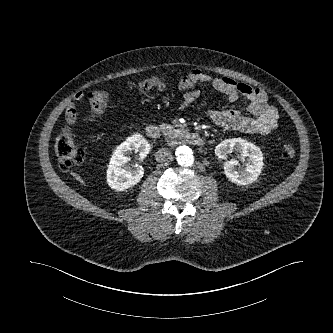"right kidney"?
I'll return each instance as SVG.
<instances>
[{
    "instance_id": "ca27d5eb",
    "label": "right kidney",
    "mask_w": 333,
    "mask_h": 333,
    "mask_svg": "<svg viewBox=\"0 0 333 333\" xmlns=\"http://www.w3.org/2000/svg\"><path fill=\"white\" fill-rule=\"evenodd\" d=\"M139 153V160H143L149 151L150 144L142 136H133L119 145L113 152L107 170V183L116 191H124L134 187L144 175L142 166L130 168L126 165L127 154L131 151Z\"/></svg>"
}]
</instances>
